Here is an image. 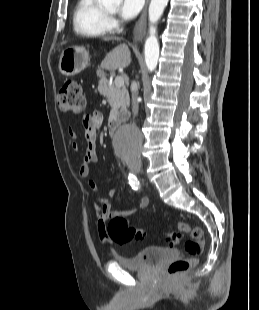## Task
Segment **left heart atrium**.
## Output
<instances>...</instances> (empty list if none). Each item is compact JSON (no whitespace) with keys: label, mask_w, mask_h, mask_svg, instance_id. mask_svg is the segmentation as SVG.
<instances>
[{"label":"left heart atrium","mask_w":259,"mask_h":310,"mask_svg":"<svg viewBox=\"0 0 259 310\" xmlns=\"http://www.w3.org/2000/svg\"><path fill=\"white\" fill-rule=\"evenodd\" d=\"M144 0H121L120 16L125 20L133 19L141 11Z\"/></svg>","instance_id":"obj_1"}]
</instances>
